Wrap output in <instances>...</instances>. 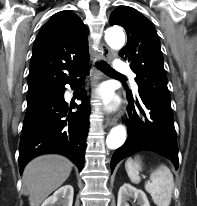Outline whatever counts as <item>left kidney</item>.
I'll list each match as a JSON object with an SVG mask.
<instances>
[{"mask_svg": "<svg viewBox=\"0 0 197 206\" xmlns=\"http://www.w3.org/2000/svg\"><path fill=\"white\" fill-rule=\"evenodd\" d=\"M134 198L139 206H150L146 194L128 183H124L118 192L117 206H129L127 201Z\"/></svg>", "mask_w": 197, "mask_h": 206, "instance_id": "left-kidney-1", "label": "left kidney"}]
</instances>
